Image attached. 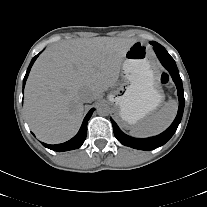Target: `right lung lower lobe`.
<instances>
[{"label": "right lung lower lobe", "mask_w": 207, "mask_h": 207, "mask_svg": "<svg viewBox=\"0 0 207 207\" xmlns=\"http://www.w3.org/2000/svg\"><path fill=\"white\" fill-rule=\"evenodd\" d=\"M38 55H36L32 59L30 65H29V67L27 69L26 75H25V77L23 79V88L25 86V83H26L27 77L29 75L30 69H31L33 63L35 62L36 58L38 57ZM93 111H94V108H92L88 112V114L86 115V117L83 120V123H82V126H81L79 132L71 140H69V141H67L65 143L56 144V145H48V144L42 143L43 146H45L46 148H49L51 150H54V151H68V150H73V149L79 148L84 143V141L86 139V135H87V123H88V120L91 117Z\"/></svg>", "instance_id": "obj_1"}]
</instances>
